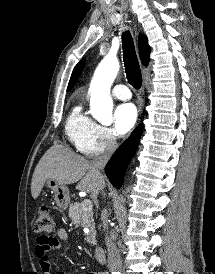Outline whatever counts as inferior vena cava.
I'll return each instance as SVG.
<instances>
[{"label": "inferior vena cava", "mask_w": 215, "mask_h": 274, "mask_svg": "<svg viewBox=\"0 0 215 274\" xmlns=\"http://www.w3.org/2000/svg\"><path fill=\"white\" fill-rule=\"evenodd\" d=\"M116 148H117L116 138L115 137L109 138V140L107 141L105 152L91 161V165L99 174H100V170L104 169L106 163L108 162V160L110 159L111 155L116 150ZM102 221H103L104 229L108 230L106 209L102 211ZM105 242H106V247L108 252V259H107L108 268L111 271H120L122 269V261L112 237L107 235L105 237Z\"/></svg>", "instance_id": "obj_1"}]
</instances>
